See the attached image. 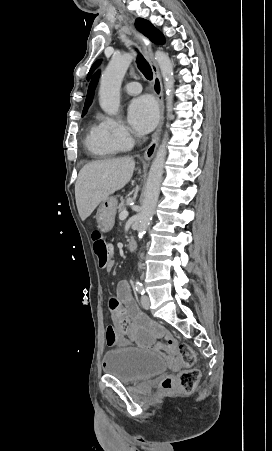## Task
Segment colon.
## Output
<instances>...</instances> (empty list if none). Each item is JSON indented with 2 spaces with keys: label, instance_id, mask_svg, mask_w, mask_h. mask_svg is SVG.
Listing matches in <instances>:
<instances>
[{
  "label": "colon",
  "instance_id": "obj_1",
  "mask_svg": "<svg viewBox=\"0 0 272 451\" xmlns=\"http://www.w3.org/2000/svg\"><path fill=\"white\" fill-rule=\"evenodd\" d=\"M94 239V250L97 256V263L100 267H105L110 260L112 248L108 242L102 239L101 235L95 231L92 233ZM121 321V319H119ZM117 328L110 326L107 328V348H122V339H117ZM166 351H174L173 356L178 365H192L190 368L179 372L175 378L165 377L161 386L164 389L177 387L185 393H191L199 378L198 368L194 365L196 352L191 349L189 342H166Z\"/></svg>",
  "mask_w": 272,
  "mask_h": 451
}]
</instances>
